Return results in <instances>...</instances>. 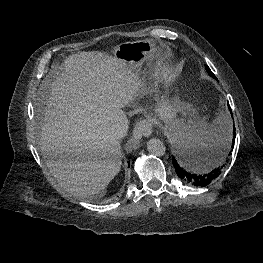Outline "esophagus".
<instances>
[{
  "label": "esophagus",
  "mask_w": 263,
  "mask_h": 263,
  "mask_svg": "<svg viewBox=\"0 0 263 263\" xmlns=\"http://www.w3.org/2000/svg\"><path fill=\"white\" fill-rule=\"evenodd\" d=\"M153 131L152 124L147 120H140L133 129V137L130 143L136 145L143 136H149Z\"/></svg>",
  "instance_id": "esophagus-1"
}]
</instances>
